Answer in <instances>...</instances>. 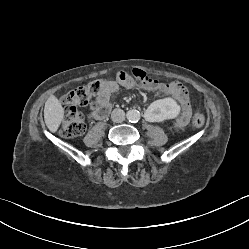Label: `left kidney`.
I'll list each match as a JSON object with an SVG mask.
<instances>
[{
	"label": "left kidney",
	"mask_w": 249,
	"mask_h": 249,
	"mask_svg": "<svg viewBox=\"0 0 249 249\" xmlns=\"http://www.w3.org/2000/svg\"><path fill=\"white\" fill-rule=\"evenodd\" d=\"M181 112L182 105L179 99L174 95H169L165 99L146 105L142 110V115L147 124L158 127L177 120Z\"/></svg>",
	"instance_id": "1"
}]
</instances>
